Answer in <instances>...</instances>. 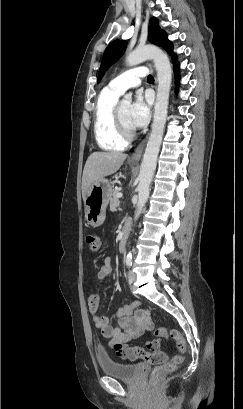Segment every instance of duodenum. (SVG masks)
Instances as JSON below:
<instances>
[{"instance_id": "1", "label": "duodenum", "mask_w": 243, "mask_h": 409, "mask_svg": "<svg viewBox=\"0 0 243 409\" xmlns=\"http://www.w3.org/2000/svg\"><path fill=\"white\" fill-rule=\"evenodd\" d=\"M127 237H128V231L124 230L121 234L120 240H119V251L124 252L126 249L127 245Z\"/></svg>"}]
</instances>
